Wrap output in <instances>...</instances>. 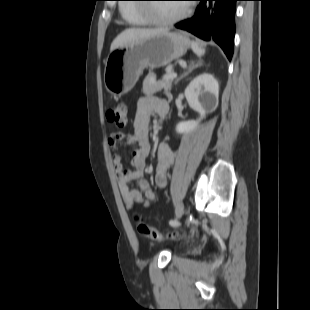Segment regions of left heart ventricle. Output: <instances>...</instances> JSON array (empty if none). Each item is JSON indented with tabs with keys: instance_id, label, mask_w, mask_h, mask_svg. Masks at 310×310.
<instances>
[{
	"instance_id": "1",
	"label": "left heart ventricle",
	"mask_w": 310,
	"mask_h": 310,
	"mask_svg": "<svg viewBox=\"0 0 310 310\" xmlns=\"http://www.w3.org/2000/svg\"><path fill=\"white\" fill-rule=\"evenodd\" d=\"M153 10L157 17H171L178 14L182 7L176 4H159Z\"/></svg>"
}]
</instances>
